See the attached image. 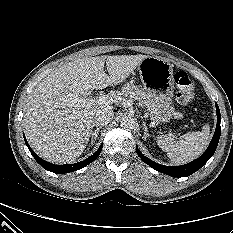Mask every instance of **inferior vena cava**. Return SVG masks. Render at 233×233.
<instances>
[{"instance_id":"1","label":"inferior vena cava","mask_w":233,"mask_h":233,"mask_svg":"<svg viewBox=\"0 0 233 233\" xmlns=\"http://www.w3.org/2000/svg\"><path fill=\"white\" fill-rule=\"evenodd\" d=\"M114 116V112L109 109H100L97 111V113L94 115L92 124L95 127H102L104 125H107Z\"/></svg>"}]
</instances>
